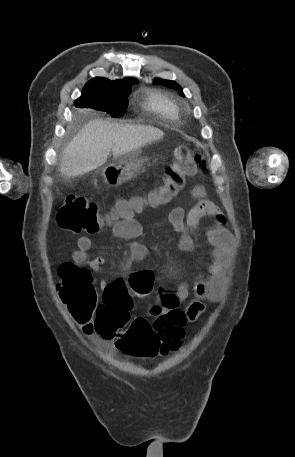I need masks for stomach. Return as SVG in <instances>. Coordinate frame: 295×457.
<instances>
[{
	"label": "stomach",
	"mask_w": 295,
	"mask_h": 457,
	"mask_svg": "<svg viewBox=\"0 0 295 457\" xmlns=\"http://www.w3.org/2000/svg\"><path fill=\"white\" fill-rule=\"evenodd\" d=\"M144 159L139 157V152L134 151L126 154L124 158L118 159L103 168L102 175L106 184L117 186L129 178L133 171L140 169Z\"/></svg>",
	"instance_id": "0dacf381"
}]
</instances>
